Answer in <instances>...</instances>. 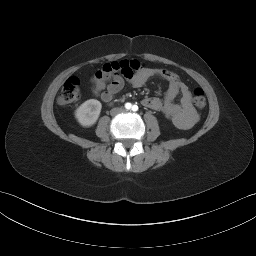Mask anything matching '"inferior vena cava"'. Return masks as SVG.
I'll list each match as a JSON object with an SVG mask.
<instances>
[{
	"instance_id": "1",
	"label": "inferior vena cava",
	"mask_w": 256,
	"mask_h": 256,
	"mask_svg": "<svg viewBox=\"0 0 256 256\" xmlns=\"http://www.w3.org/2000/svg\"><path fill=\"white\" fill-rule=\"evenodd\" d=\"M122 111H123L122 108H113V109L110 111V113H111V115H116V114H118V113H121Z\"/></svg>"
}]
</instances>
